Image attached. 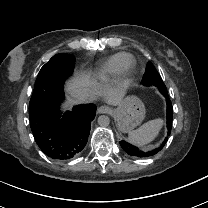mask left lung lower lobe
I'll return each instance as SVG.
<instances>
[{
  "label": "left lung lower lobe",
  "mask_w": 208,
  "mask_h": 208,
  "mask_svg": "<svg viewBox=\"0 0 208 208\" xmlns=\"http://www.w3.org/2000/svg\"><path fill=\"white\" fill-rule=\"evenodd\" d=\"M166 98V103H167V129H168V135H170L171 132V127H172V113H173V107L172 104L169 100L168 94L164 95ZM168 138L166 137L165 140L156 148L149 149V150H141L138 149L137 147L131 145L130 143L122 140L120 142V145L122 149L129 154L130 156L136 157V158H147L155 155L158 153L165 145L167 142Z\"/></svg>",
  "instance_id": "obj_1"
}]
</instances>
